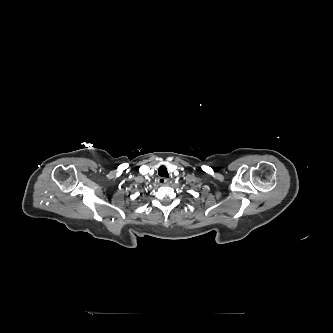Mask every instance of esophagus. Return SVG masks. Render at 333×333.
<instances>
[{
	"label": "esophagus",
	"instance_id": "esophagus-1",
	"mask_svg": "<svg viewBox=\"0 0 333 333\" xmlns=\"http://www.w3.org/2000/svg\"><path fill=\"white\" fill-rule=\"evenodd\" d=\"M159 185H167L169 183V179L165 177L158 178Z\"/></svg>",
	"mask_w": 333,
	"mask_h": 333
}]
</instances>
